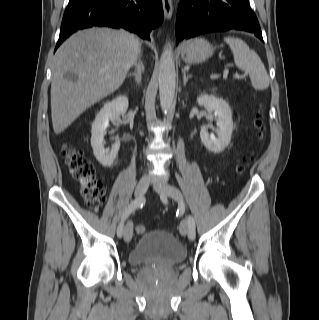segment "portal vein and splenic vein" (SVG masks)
Wrapping results in <instances>:
<instances>
[{
    "label": "portal vein and splenic vein",
    "instance_id": "1",
    "mask_svg": "<svg viewBox=\"0 0 319 320\" xmlns=\"http://www.w3.org/2000/svg\"><path fill=\"white\" fill-rule=\"evenodd\" d=\"M227 74H228V70H225L224 71V76H226ZM234 77L239 78L240 75L236 73V74H234Z\"/></svg>",
    "mask_w": 319,
    "mask_h": 320
}]
</instances>
